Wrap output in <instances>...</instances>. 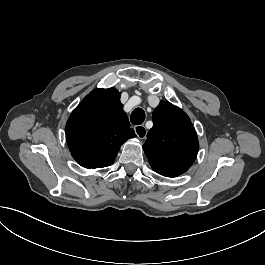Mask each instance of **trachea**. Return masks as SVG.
<instances>
[{
  "label": "trachea",
  "mask_w": 265,
  "mask_h": 265,
  "mask_svg": "<svg viewBox=\"0 0 265 265\" xmlns=\"http://www.w3.org/2000/svg\"><path fill=\"white\" fill-rule=\"evenodd\" d=\"M130 120L132 124L139 125L142 124L145 120V112L141 108H136L133 110Z\"/></svg>",
  "instance_id": "1"
}]
</instances>
